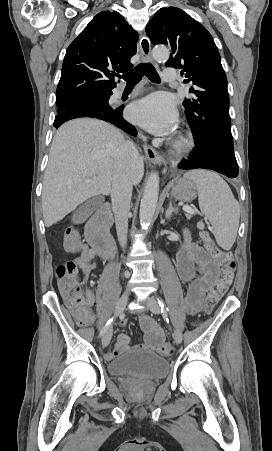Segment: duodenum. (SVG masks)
<instances>
[{"label": "duodenum", "instance_id": "1", "mask_svg": "<svg viewBox=\"0 0 272 451\" xmlns=\"http://www.w3.org/2000/svg\"><path fill=\"white\" fill-rule=\"evenodd\" d=\"M111 224L110 207L105 204L99 208L86 227L87 242L104 259L111 258L114 253V239L110 233Z\"/></svg>", "mask_w": 272, "mask_h": 451}]
</instances>
